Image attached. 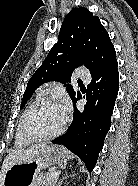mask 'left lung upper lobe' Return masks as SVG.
Returning a JSON list of instances; mask_svg holds the SVG:
<instances>
[{
	"label": "left lung upper lobe",
	"mask_w": 138,
	"mask_h": 186,
	"mask_svg": "<svg viewBox=\"0 0 138 186\" xmlns=\"http://www.w3.org/2000/svg\"><path fill=\"white\" fill-rule=\"evenodd\" d=\"M115 60L114 46L99 18L87 8L72 9L64 18L58 42L30 78L21 108L41 84L55 80L70 82L72 72L81 65H85L93 74ZM65 86L73 101L79 93L71 85Z\"/></svg>",
	"instance_id": "1"
}]
</instances>
